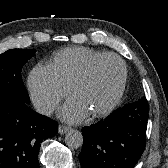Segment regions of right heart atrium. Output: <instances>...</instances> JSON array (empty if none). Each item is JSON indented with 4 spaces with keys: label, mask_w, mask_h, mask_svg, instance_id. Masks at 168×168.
<instances>
[{
    "label": "right heart atrium",
    "mask_w": 168,
    "mask_h": 168,
    "mask_svg": "<svg viewBox=\"0 0 168 168\" xmlns=\"http://www.w3.org/2000/svg\"><path fill=\"white\" fill-rule=\"evenodd\" d=\"M28 89L36 110L50 114L69 93L70 88L62 81L52 64H37L28 77Z\"/></svg>",
    "instance_id": "1"
}]
</instances>
